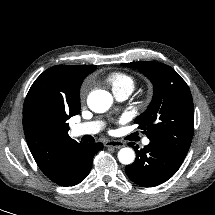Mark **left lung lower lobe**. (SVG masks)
Segmentation results:
<instances>
[{
	"label": "left lung lower lobe",
	"instance_id": "left-lung-lower-lobe-1",
	"mask_svg": "<svg viewBox=\"0 0 215 215\" xmlns=\"http://www.w3.org/2000/svg\"><path fill=\"white\" fill-rule=\"evenodd\" d=\"M136 152V160L125 168L127 176L143 187H154L167 181L179 169L185 156L151 141L143 149L129 143Z\"/></svg>",
	"mask_w": 215,
	"mask_h": 215
}]
</instances>
